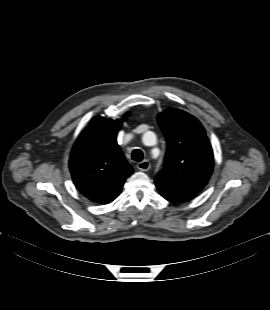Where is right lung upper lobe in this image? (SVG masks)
<instances>
[{"label": "right lung upper lobe", "instance_id": "obj_1", "mask_svg": "<svg viewBox=\"0 0 270 310\" xmlns=\"http://www.w3.org/2000/svg\"><path fill=\"white\" fill-rule=\"evenodd\" d=\"M122 120L93 118L74 144L69 167L76 188L88 199L107 204L133 173L116 142Z\"/></svg>", "mask_w": 270, "mask_h": 310}]
</instances>
